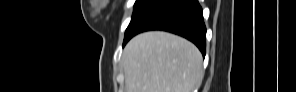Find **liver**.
Instances as JSON below:
<instances>
[{"label": "liver", "instance_id": "1", "mask_svg": "<svg viewBox=\"0 0 296 92\" xmlns=\"http://www.w3.org/2000/svg\"><path fill=\"white\" fill-rule=\"evenodd\" d=\"M122 60L126 92H193L203 77L198 48L167 32L135 36Z\"/></svg>", "mask_w": 296, "mask_h": 92}]
</instances>
